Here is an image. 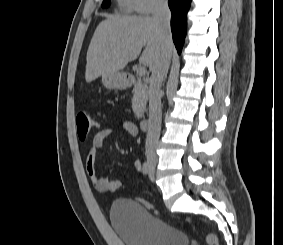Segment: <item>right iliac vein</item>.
I'll return each mask as SVG.
<instances>
[{
  "label": "right iliac vein",
  "mask_w": 283,
  "mask_h": 245,
  "mask_svg": "<svg viewBox=\"0 0 283 245\" xmlns=\"http://www.w3.org/2000/svg\"><path fill=\"white\" fill-rule=\"evenodd\" d=\"M147 163L149 164V166L151 167V169H152V170H154V169H155V166H156L157 161H156V159H155V158H153V157L149 156V157L147 158Z\"/></svg>",
  "instance_id": "63e3f726"
}]
</instances>
